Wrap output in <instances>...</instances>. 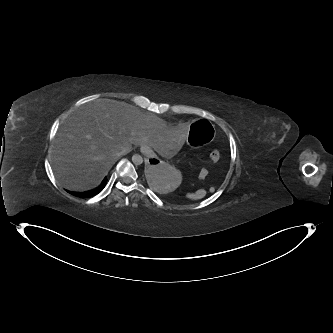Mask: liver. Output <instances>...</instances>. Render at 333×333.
Instances as JSON below:
<instances>
[{
  "mask_svg": "<svg viewBox=\"0 0 333 333\" xmlns=\"http://www.w3.org/2000/svg\"><path fill=\"white\" fill-rule=\"evenodd\" d=\"M188 133L182 119L161 118L125 102L100 99L78 107L56 135L50 157L59 182L71 191L97 187L121 153L146 144L163 157L173 156Z\"/></svg>",
  "mask_w": 333,
  "mask_h": 333,
  "instance_id": "6515ba94",
  "label": "liver"
}]
</instances>
